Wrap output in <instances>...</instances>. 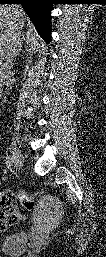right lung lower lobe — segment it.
<instances>
[{
  "label": "right lung lower lobe",
  "mask_w": 106,
  "mask_h": 257,
  "mask_svg": "<svg viewBox=\"0 0 106 257\" xmlns=\"http://www.w3.org/2000/svg\"><path fill=\"white\" fill-rule=\"evenodd\" d=\"M1 4H21L41 37L50 40V6L51 0H0Z\"/></svg>",
  "instance_id": "98d812e1"
}]
</instances>
